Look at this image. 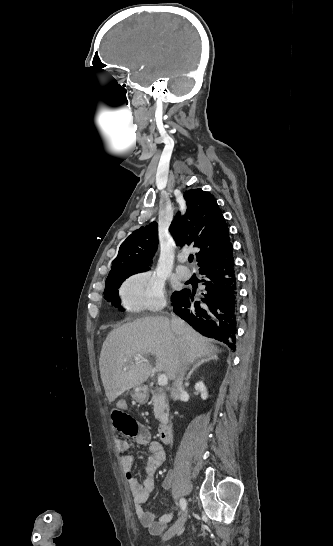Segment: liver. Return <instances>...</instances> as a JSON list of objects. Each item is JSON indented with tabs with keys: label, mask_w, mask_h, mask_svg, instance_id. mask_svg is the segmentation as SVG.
<instances>
[{
	"label": "liver",
	"mask_w": 333,
	"mask_h": 546,
	"mask_svg": "<svg viewBox=\"0 0 333 546\" xmlns=\"http://www.w3.org/2000/svg\"><path fill=\"white\" fill-rule=\"evenodd\" d=\"M219 348L187 324L183 323L180 337H176L167 317L152 316L136 319L111 331L102 346L99 368L109 402L125 391L143 384L152 372L145 359L153 355L155 370L164 371L170 380L197 358H217ZM140 356L145 359L133 360Z\"/></svg>",
	"instance_id": "obj_1"
}]
</instances>
